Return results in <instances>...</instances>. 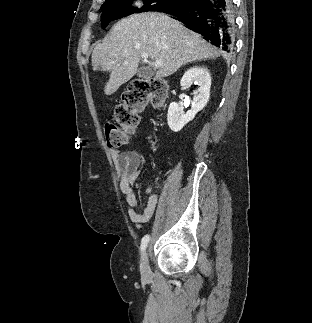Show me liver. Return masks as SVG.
<instances>
[{
	"instance_id": "1",
	"label": "liver",
	"mask_w": 312,
	"mask_h": 323,
	"mask_svg": "<svg viewBox=\"0 0 312 323\" xmlns=\"http://www.w3.org/2000/svg\"><path fill=\"white\" fill-rule=\"evenodd\" d=\"M142 54L162 62L156 78H167L188 62H197L218 56V50L188 30L169 14L148 12L123 18L111 28L105 42L97 44L92 52L93 70L110 72L104 88L106 96L117 92L138 70Z\"/></svg>"
}]
</instances>
